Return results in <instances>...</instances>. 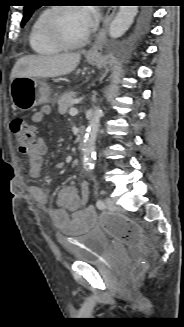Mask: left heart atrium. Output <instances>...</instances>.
I'll return each mask as SVG.
<instances>
[{
	"label": "left heart atrium",
	"mask_w": 184,
	"mask_h": 327,
	"mask_svg": "<svg viewBox=\"0 0 184 327\" xmlns=\"http://www.w3.org/2000/svg\"><path fill=\"white\" fill-rule=\"evenodd\" d=\"M79 11L83 16L87 27L90 29L98 19L97 13L94 10L88 8H79Z\"/></svg>",
	"instance_id": "1"
}]
</instances>
